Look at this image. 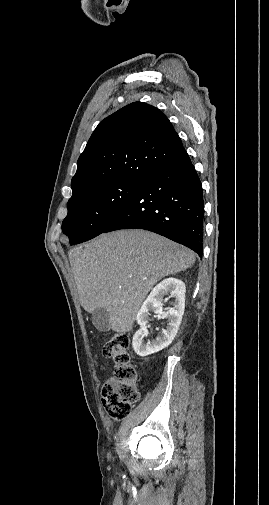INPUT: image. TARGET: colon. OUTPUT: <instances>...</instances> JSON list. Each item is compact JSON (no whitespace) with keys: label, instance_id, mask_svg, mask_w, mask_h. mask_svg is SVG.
<instances>
[{"label":"colon","instance_id":"1","mask_svg":"<svg viewBox=\"0 0 269 505\" xmlns=\"http://www.w3.org/2000/svg\"><path fill=\"white\" fill-rule=\"evenodd\" d=\"M130 338L125 333H116L103 348L104 356L114 363V373L105 381L101 400L109 416L114 420L125 418L139 400L136 386L137 372L130 363Z\"/></svg>","mask_w":269,"mask_h":505}]
</instances>
